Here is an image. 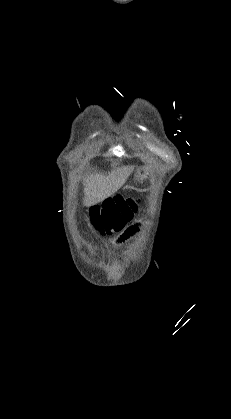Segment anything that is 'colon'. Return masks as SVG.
<instances>
[{
	"label": "colon",
	"mask_w": 231,
	"mask_h": 419,
	"mask_svg": "<svg viewBox=\"0 0 231 419\" xmlns=\"http://www.w3.org/2000/svg\"><path fill=\"white\" fill-rule=\"evenodd\" d=\"M136 210L137 203L133 199L120 195L106 200L102 209L92 208L101 230L107 233L120 231Z\"/></svg>",
	"instance_id": "5ec220e1"
}]
</instances>
